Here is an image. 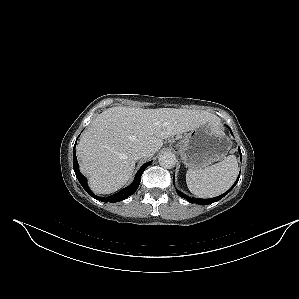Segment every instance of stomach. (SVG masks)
Returning <instances> with one entry per match:
<instances>
[{"label":"stomach","instance_id":"0dacf381","mask_svg":"<svg viewBox=\"0 0 299 299\" xmlns=\"http://www.w3.org/2000/svg\"><path fill=\"white\" fill-rule=\"evenodd\" d=\"M177 148L184 165L199 170L223 159L231 141L217 124L206 123L186 133Z\"/></svg>","mask_w":299,"mask_h":299}]
</instances>
